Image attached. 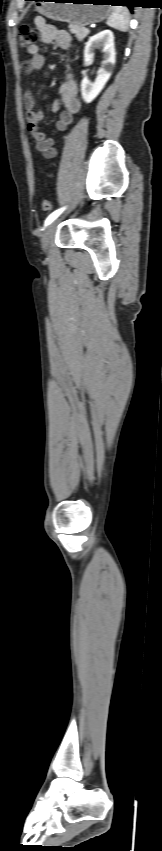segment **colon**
Returning <instances> with one entry per match:
<instances>
[{"label": "colon", "mask_w": 162, "mask_h": 851, "mask_svg": "<svg viewBox=\"0 0 162 851\" xmlns=\"http://www.w3.org/2000/svg\"><path fill=\"white\" fill-rule=\"evenodd\" d=\"M37 38V32L33 27L24 25L20 28L19 45L21 48L29 49L31 46L35 45ZM41 207L43 210H49L51 208V201L47 198L42 199Z\"/></svg>", "instance_id": "5ec220e1"}]
</instances>
